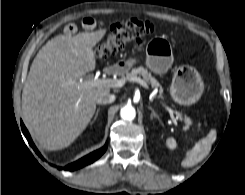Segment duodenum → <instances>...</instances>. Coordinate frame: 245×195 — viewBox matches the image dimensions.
<instances>
[{"instance_id":"410a0bca","label":"duodenum","mask_w":245,"mask_h":195,"mask_svg":"<svg viewBox=\"0 0 245 195\" xmlns=\"http://www.w3.org/2000/svg\"><path fill=\"white\" fill-rule=\"evenodd\" d=\"M117 70H118L117 67L109 66V67L106 68V73L107 74H114Z\"/></svg>"}]
</instances>
